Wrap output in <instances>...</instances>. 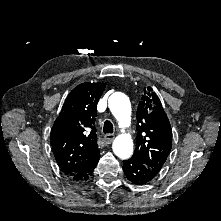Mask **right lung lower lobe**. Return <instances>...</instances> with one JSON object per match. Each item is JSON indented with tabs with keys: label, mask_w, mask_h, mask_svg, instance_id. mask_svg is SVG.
<instances>
[{
	"label": "right lung lower lobe",
	"mask_w": 221,
	"mask_h": 221,
	"mask_svg": "<svg viewBox=\"0 0 221 221\" xmlns=\"http://www.w3.org/2000/svg\"><path fill=\"white\" fill-rule=\"evenodd\" d=\"M100 159V155L97 154L89 165H87L83 170L74 175L70 176L69 178L74 182H83L86 181L92 174L93 170L95 169L98 161Z\"/></svg>",
	"instance_id": "obj_1"
}]
</instances>
